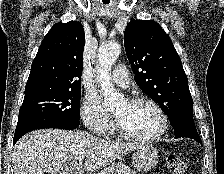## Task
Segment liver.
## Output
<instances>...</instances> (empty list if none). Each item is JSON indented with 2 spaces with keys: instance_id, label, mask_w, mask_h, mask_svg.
I'll return each instance as SVG.
<instances>
[{
  "instance_id": "6515ba94",
  "label": "liver",
  "mask_w": 224,
  "mask_h": 174,
  "mask_svg": "<svg viewBox=\"0 0 224 174\" xmlns=\"http://www.w3.org/2000/svg\"><path fill=\"white\" fill-rule=\"evenodd\" d=\"M141 144L119 143L81 131L42 129L24 135L14 146L13 174H82L95 172L135 151Z\"/></svg>"
}]
</instances>
